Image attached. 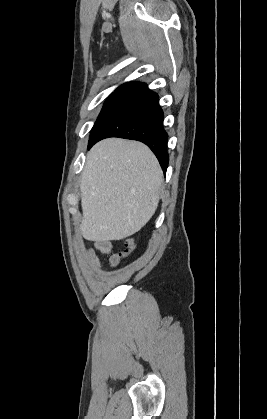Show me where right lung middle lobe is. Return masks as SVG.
<instances>
[{
	"mask_svg": "<svg viewBox=\"0 0 267 419\" xmlns=\"http://www.w3.org/2000/svg\"><path fill=\"white\" fill-rule=\"evenodd\" d=\"M127 96L126 93H119V92H114L112 93L108 99L105 101L103 108L98 116V119L94 125V127L92 128L91 131V135H90V139L89 141L92 139L93 134L97 128V126L99 125V123L101 122V120L104 118V116L116 105L118 104L122 99H124Z\"/></svg>",
	"mask_w": 267,
	"mask_h": 419,
	"instance_id": "dd1d6c3e",
	"label": "right lung middle lobe"
}]
</instances>
